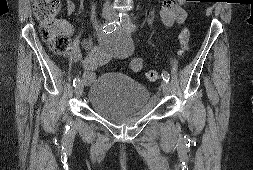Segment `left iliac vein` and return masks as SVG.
<instances>
[{"instance_id": "4c4485c4", "label": "left iliac vein", "mask_w": 253, "mask_h": 170, "mask_svg": "<svg viewBox=\"0 0 253 170\" xmlns=\"http://www.w3.org/2000/svg\"><path fill=\"white\" fill-rule=\"evenodd\" d=\"M115 17H116V15L113 14L112 15V19H115ZM126 29L127 30H132V27H127ZM161 89H162V92H163L164 95H168L170 93V85H169V83L166 82V81H163L161 83Z\"/></svg>"}]
</instances>
